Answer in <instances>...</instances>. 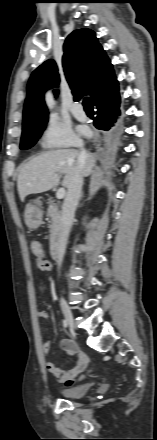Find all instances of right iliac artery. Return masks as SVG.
<instances>
[{"label":"right iliac artery","instance_id":"82829eb1","mask_svg":"<svg viewBox=\"0 0 157 440\" xmlns=\"http://www.w3.org/2000/svg\"><path fill=\"white\" fill-rule=\"evenodd\" d=\"M63 327H64V328H67V322H66V320H63Z\"/></svg>","mask_w":157,"mask_h":440}]
</instances>
